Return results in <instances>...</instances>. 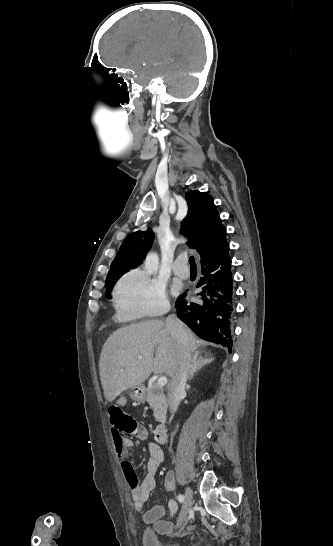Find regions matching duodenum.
I'll return each instance as SVG.
<instances>
[{
    "label": "duodenum",
    "mask_w": 333,
    "mask_h": 546,
    "mask_svg": "<svg viewBox=\"0 0 333 546\" xmlns=\"http://www.w3.org/2000/svg\"><path fill=\"white\" fill-rule=\"evenodd\" d=\"M155 439L159 444H165L168 442V430L165 425H160L156 427Z\"/></svg>",
    "instance_id": "obj_1"
}]
</instances>
